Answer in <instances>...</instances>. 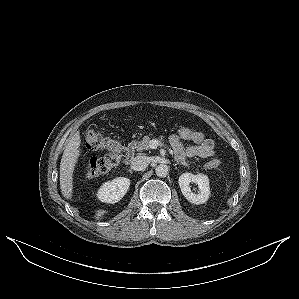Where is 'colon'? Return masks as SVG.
<instances>
[{"label":"colon","mask_w":299,"mask_h":299,"mask_svg":"<svg viewBox=\"0 0 299 299\" xmlns=\"http://www.w3.org/2000/svg\"><path fill=\"white\" fill-rule=\"evenodd\" d=\"M203 133L197 129L178 126L175 129V134L180 139L185 141H196L201 137ZM86 146L94 151L103 150L106 151V155L103 157H92L88 160L85 167L87 177L94 178L108 174L114 167H116L123 156L125 155V149L122 144L111 137L105 136L95 129H88L85 134ZM216 166L217 162L211 163Z\"/></svg>","instance_id":"1"}]
</instances>
